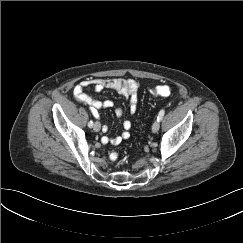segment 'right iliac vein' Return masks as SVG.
<instances>
[{
	"label": "right iliac vein",
	"mask_w": 243,
	"mask_h": 243,
	"mask_svg": "<svg viewBox=\"0 0 243 243\" xmlns=\"http://www.w3.org/2000/svg\"><path fill=\"white\" fill-rule=\"evenodd\" d=\"M93 129H94V131L95 132H98V131H100V129H101V124H100V122H95V124L93 125Z\"/></svg>",
	"instance_id": "obj_1"
}]
</instances>
